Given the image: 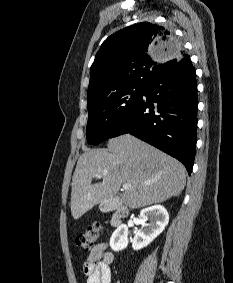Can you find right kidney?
I'll return each mask as SVG.
<instances>
[{
	"mask_svg": "<svg viewBox=\"0 0 233 283\" xmlns=\"http://www.w3.org/2000/svg\"><path fill=\"white\" fill-rule=\"evenodd\" d=\"M149 221V223H146ZM169 221L167 210L161 205H154L141 210L139 222L142 227L135 234L132 242L134 250L148 246L165 228ZM128 245V226L120 225L110 238L113 251H120Z\"/></svg>",
	"mask_w": 233,
	"mask_h": 283,
	"instance_id": "obj_1",
	"label": "right kidney"
}]
</instances>
